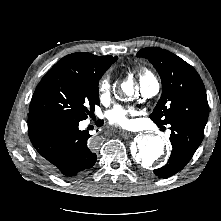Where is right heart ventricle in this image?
Returning <instances> with one entry per match:
<instances>
[{
  "label": "right heart ventricle",
  "mask_w": 221,
  "mask_h": 221,
  "mask_svg": "<svg viewBox=\"0 0 221 221\" xmlns=\"http://www.w3.org/2000/svg\"><path fill=\"white\" fill-rule=\"evenodd\" d=\"M141 83L144 82L151 74L149 72L139 73Z\"/></svg>",
  "instance_id": "obj_1"
}]
</instances>
